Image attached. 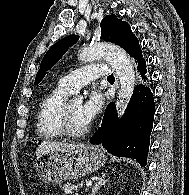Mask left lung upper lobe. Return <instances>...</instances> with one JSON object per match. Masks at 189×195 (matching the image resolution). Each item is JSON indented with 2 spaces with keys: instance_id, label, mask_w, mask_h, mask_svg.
Wrapping results in <instances>:
<instances>
[{
  "instance_id": "obj_1",
  "label": "left lung upper lobe",
  "mask_w": 189,
  "mask_h": 195,
  "mask_svg": "<svg viewBox=\"0 0 189 195\" xmlns=\"http://www.w3.org/2000/svg\"><path fill=\"white\" fill-rule=\"evenodd\" d=\"M101 38L122 47L130 57L138 60L142 56L138 39L132 33L127 22L118 19L115 15H107L101 21ZM77 35L67 36L55 43L45 54L40 69L36 75L35 85L45 76L46 72L58 62L70 46L78 40Z\"/></svg>"
}]
</instances>
